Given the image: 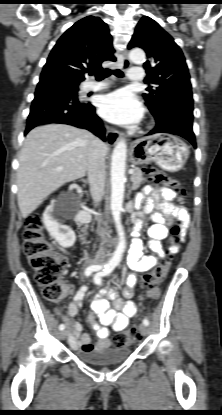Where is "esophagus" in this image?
Wrapping results in <instances>:
<instances>
[{
  "mask_svg": "<svg viewBox=\"0 0 222 415\" xmlns=\"http://www.w3.org/2000/svg\"><path fill=\"white\" fill-rule=\"evenodd\" d=\"M131 66V62L128 59L127 53L125 51L122 52V68L128 69ZM107 141L114 145L120 138V132L117 130L109 129L106 134Z\"/></svg>",
  "mask_w": 222,
  "mask_h": 415,
  "instance_id": "obj_1",
  "label": "esophagus"
}]
</instances>
